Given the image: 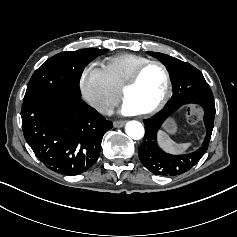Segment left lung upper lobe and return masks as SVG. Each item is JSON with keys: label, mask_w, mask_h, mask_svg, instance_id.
I'll return each mask as SVG.
<instances>
[{"label": "left lung upper lobe", "mask_w": 237, "mask_h": 237, "mask_svg": "<svg viewBox=\"0 0 237 237\" xmlns=\"http://www.w3.org/2000/svg\"><path fill=\"white\" fill-rule=\"evenodd\" d=\"M158 58L169 70L173 84V96L165 110L175 106L201 101H214L210 86L202 73L189 63L158 52H148ZM165 116L145 120V136L138 149L142 164L152 173L163 176H175L191 169L208 149L211 135L207 132L202 146L195 152L184 155H170L162 151L156 140V134Z\"/></svg>", "instance_id": "obj_1"}]
</instances>
